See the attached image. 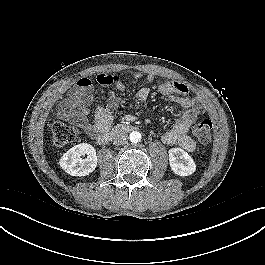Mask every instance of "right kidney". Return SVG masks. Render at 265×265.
<instances>
[{"label":"right kidney","mask_w":265,"mask_h":265,"mask_svg":"<svg viewBox=\"0 0 265 265\" xmlns=\"http://www.w3.org/2000/svg\"><path fill=\"white\" fill-rule=\"evenodd\" d=\"M87 154L85 159L81 156ZM97 155L94 147L87 143L78 144L69 149L60 159V167L71 176H86L97 166Z\"/></svg>","instance_id":"ca27d5eb"}]
</instances>
